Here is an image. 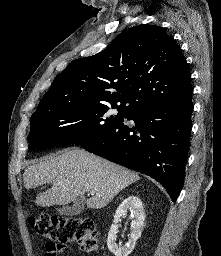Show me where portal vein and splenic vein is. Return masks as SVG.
I'll list each match as a JSON object with an SVG mask.
<instances>
[{"instance_id": "portal-vein-and-splenic-vein-1", "label": "portal vein and splenic vein", "mask_w": 221, "mask_h": 256, "mask_svg": "<svg viewBox=\"0 0 221 256\" xmlns=\"http://www.w3.org/2000/svg\"><path fill=\"white\" fill-rule=\"evenodd\" d=\"M90 193H91V195H94V194H96V191H90Z\"/></svg>"}]
</instances>
